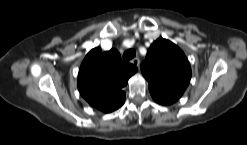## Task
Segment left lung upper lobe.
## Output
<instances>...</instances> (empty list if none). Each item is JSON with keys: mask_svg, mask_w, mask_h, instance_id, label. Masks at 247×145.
Wrapping results in <instances>:
<instances>
[{"mask_svg": "<svg viewBox=\"0 0 247 145\" xmlns=\"http://www.w3.org/2000/svg\"><path fill=\"white\" fill-rule=\"evenodd\" d=\"M141 72L150 91H158L179 99L191 78L190 64L182 50L171 41L159 38L147 51Z\"/></svg>", "mask_w": 247, "mask_h": 145, "instance_id": "1", "label": "left lung upper lobe"}]
</instances>
